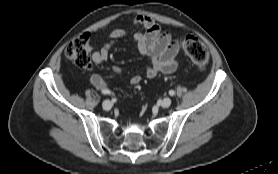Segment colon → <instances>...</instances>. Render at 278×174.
<instances>
[{
  "mask_svg": "<svg viewBox=\"0 0 278 174\" xmlns=\"http://www.w3.org/2000/svg\"><path fill=\"white\" fill-rule=\"evenodd\" d=\"M181 46L194 67L201 70L207 66L209 53L206 46L198 38L185 35L181 38ZM92 51L93 48L87 34L76 36L65 49L66 56L82 69L90 67Z\"/></svg>",
  "mask_w": 278,
  "mask_h": 174,
  "instance_id": "1",
  "label": "colon"
}]
</instances>
